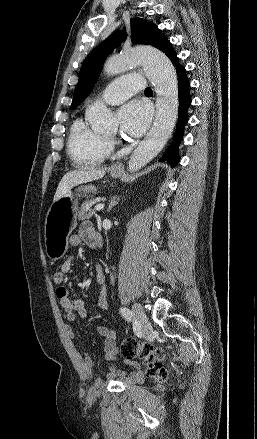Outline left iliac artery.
<instances>
[{"label":"left iliac artery","instance_id":"44dca946","mask_svg":"<svg viewBox=\"0 0 257 439\" xmlns=\"http://www.w3.org/2000/svg\"><path fill=\"white\" fill-rule=\"evenodd\" d=\"M120 312H121L122 316H123L127 321H131L133 315H132V312H131L128 308L121 307V308H120Z\"/></svg>","mask_w":257,"mask_h":439}]
</instances>
